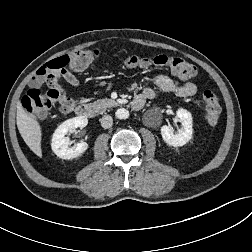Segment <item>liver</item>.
Returning <instances> with one entry per match:
<instances>
[{
  "label": "liver",
  "mask_w": 252,
  "mask_h": 252,
  "mask_svg": "<svg viewBox=\"0 0 252 252\" xmlns=\"http://www.w3.org/2000/svg\"><path fill=\"white\" fill-rule=\"evenodd\" d=\"M16 121L24 142L38 157H42L40 124L23 109L20 102L17 106Z\"/></svg>",
  "instance_id": "6515ba94"
}]
</instances>
